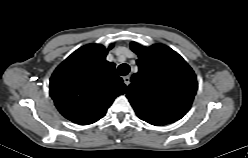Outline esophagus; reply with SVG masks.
I'll use <instances>...</instances> for the list:
<instances>
[{"instance_id": "34e87169", "label": "esophagus", "mask_w": 248, "mask_h": 158, "mask_svg": "<svg viewBox=\"0 0 248 158\" xmlns=\"http://www.w3.org/2000/svg\"><path fill=\"white\" fill-rule=\"evenodd\" d=\"M123 81H124L125 85L128 86L130 84V77L128 75L124 76Z\"/></svg>"}]
</instances>
